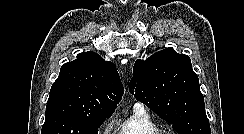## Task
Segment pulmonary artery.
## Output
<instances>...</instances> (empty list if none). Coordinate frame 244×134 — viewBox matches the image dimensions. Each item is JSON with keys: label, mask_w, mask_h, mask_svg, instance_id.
I'll return each mask as SVG.
<instances>
[{"label": "pulmonary artery", "mask_w": 244, "mask_h": 134, "mask_svg": "<svg viewBox=\"0 0 244 134\" xmlns=\"http://www.w3.org/2000/svg\"><path fill=\"white\" fill-rule=\"evenodd\" d=\"M137 108H143V107H141V105H137Z\"/></svg>", "instance_id": "obj_1"}]
</instances>
